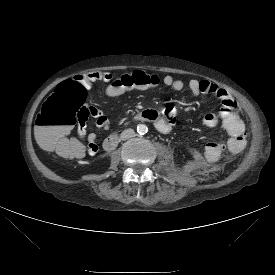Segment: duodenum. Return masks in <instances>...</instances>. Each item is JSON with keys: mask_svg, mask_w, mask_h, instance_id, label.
<instances>
[{"mask_svg": "<svg viewBox=\"0 0 275 275\" xmlns=\"http://www.w3.org/2000/svg\"><path fill=\"white\" fill-rule=\"evenodd\" d=\"M136 121H148L146 118V111H142L135 116ZM119 142V135L116 132L110 134L103 142L105 150H113Z\"/></svg>", "mask_w": 275, "mask_h": 275, "instance_id": "obj_1", "label": "duodenum"}]
</instances>
